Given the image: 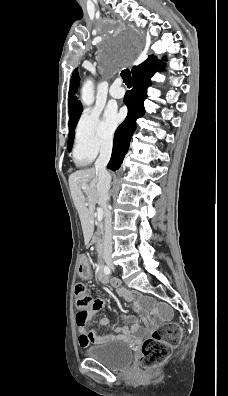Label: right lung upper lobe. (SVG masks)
<instances>
[{
  "label": "right lung upper lobe",
  "instance_id": "1",
  "mask_svg": "<svg viewBox=\"0 0 228 396\" xmlns=\"http://www.w3.org/2000/svg\"><path fill=\"white\" fill-rule=\"evenodd\" d=\"M137 66L132 68V72L135 70ZM80 83V79L78 76V71H75L72 74L71 82H70V89H69V114H73L76 111L82 110L81 103L78 101V98L74 96L78 90V86Z\"/></svg>",
  "mask_w": 228,
  "mask_h": 396
}]
</instances>
